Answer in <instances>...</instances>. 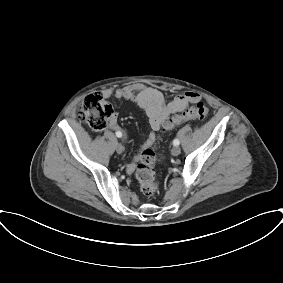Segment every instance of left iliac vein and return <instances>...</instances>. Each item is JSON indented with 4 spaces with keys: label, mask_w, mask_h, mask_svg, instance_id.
Instances as JSON below:
<instances>
[{
    "label": "left iliac vein",
    "mask_w": 283,
    "mask_h": 283,
    "mask_svg": "<svg viewBox=\"0 0 283 283\" xmlns=\"http://www.w3.org/2000/svg\"><path fill=\"white\" fill-rule=\"evenodd\" d=\"M181 152V148L179 146H174L171 150V154L173 156H178Z\"/></svg>",
    "instance_id": "4c4485c4"
}]
</instances>
